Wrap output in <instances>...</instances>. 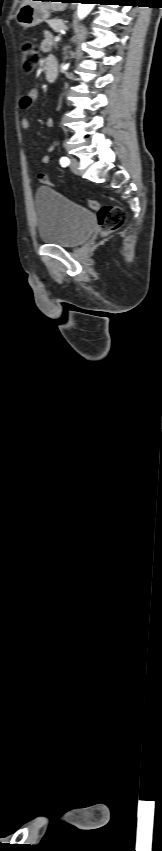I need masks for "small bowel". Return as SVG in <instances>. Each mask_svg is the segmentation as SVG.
<instances>
[{
	"mask_svg": "<svg viewBox=\"0 0 162 851\" xmlns=\"http://www.w3.org/2000/svg\"><path fill=\"white\" fill-rule=\"evenodd\" d=\"M51 45H52L51 37H50L49 34H47L45 39L42 42V49L47 51V50L50 49ZM48 58H54V57L51 56V57H48ZM37 98H38V92L35 89H29L27 91V93L20 100L21 109L24 110V111H29L32 108L34 102L37 100ZM52 125H53V119L50 118V119L47 120L46 126L50 127ZM21 126L24 130L28 131L30 129V119L28 117H23L22 120H21ZM54 147H55V144H52V145H50L48 150L52 151L54 149ZM41 162L43 164H48L50 162L49 156L44 155L41 158Z\"/></svg>",
	"mask_w": 162,
	"mask_h": 851,
	"instance_id": "1",
	"label": "small bowel"
}]
</instances>
